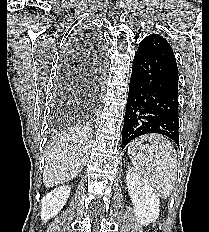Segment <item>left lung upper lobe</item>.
Here are the masks:
<instances>
[{
  "instance_id": "1",
  "label": "left lung upper lobe",
  "mask_w": 209,
  "mask_h": 232,
  "mask_svg": "<svg viewBox=\"0 0 209 232\" xmlns=\"http://www.w3.org/2000/svg\"><path fill=\"white\" fill-rule=\"evenodd\" d=\"M147 37H160V38H163V37H161L160 35H158V34H151V35H149V36H147ZM164 39V38H163Z\"/></svg>"
}]
</instances>
